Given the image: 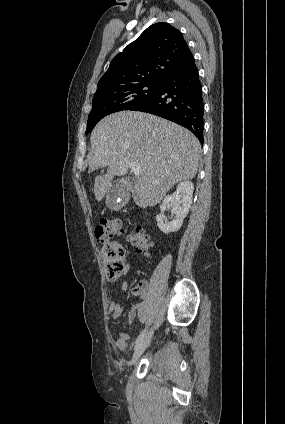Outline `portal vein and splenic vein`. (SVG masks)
I'll use <instances>...</instances> for the list:
<instances>
[{"label":"portal vein and splenic vein","instance_id":"18ae733b","mask_svg":"<svg viewBox=\"0 0 285 424\" xmlns=\"http://www.w3.org/2000/svg\"><path fill=\"white\" fill-rule=\"evenodd\" d=\"M129 165H130L131 172H133L135 176H139L142 173V169L139 165L135 163H130Z\"/></svg>","mask_w":285,"mask_h":424}]
</instances>
